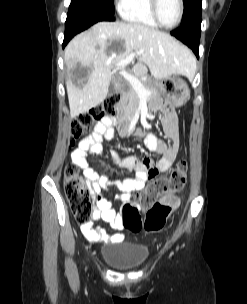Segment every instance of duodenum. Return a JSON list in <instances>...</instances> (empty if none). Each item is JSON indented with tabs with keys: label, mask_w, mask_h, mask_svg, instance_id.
Segmentation results:
<instances>
[{
	"label": "duodenum",
	"mask_w": 247,
	"mask_h": 304,
	"mask_svg": "<svg viewBox=\"0 0 247 304\" xmlns=\"http://www.w3.org/2000/svg\"><path fill=\"white\" fill-rule=\"evenodd\" d=\"M150 81V80H149ZM118 110V113H123V106H118L117 108ZM118 118V117H117ZM120 118V117H119ZM129 118V117H128ZM132 123V120L131 119H119L118 120V123H117V126H116V129L119 130L120 132V136H123V138H126V136L128 135V132H127V127L129 126V124Z\"/></svg>",
	"instance_id": "1"
}]
</instances>
